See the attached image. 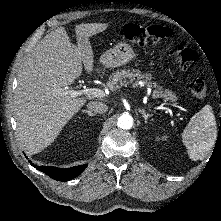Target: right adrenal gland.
I'll list each match as a JSON object with an SVG mask.
<instances>
[{"label":"right adrenal gland","instance_id":"2a0ac1e0","mask_svg":"<svg viewBox=\"0 0 221 221\" xmlns=\"http://www.w3.org/2000/svg\"><path fill=\"white\" fill-rule=\"evenodd\" d=\"M82 112H83V113H87V115H88L89 117H91V116H95V114L92 113V112L89 111V110H82Z\"/></svg>","mask_w":221,"mask_h":221}]
</instances>
